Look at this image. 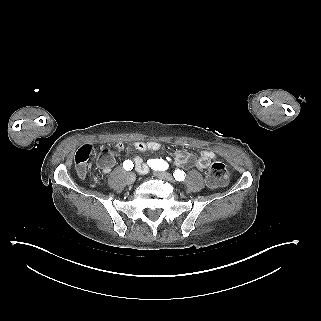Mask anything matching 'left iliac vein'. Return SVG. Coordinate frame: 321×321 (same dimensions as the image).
<instances>
[{"mask_svg": "<svg viewBox=\"0 0 321 321\" xmlns=\"http://www.w3.org/2000/svg\"><path fill=\"white\" fill-rule=\"evenodd\" d=\"M154 175H155L156 177L160 178V179L167 180V181H169V182H171V183H174V182H175L173 176H172L170 173H168V172H165V171H155V172H154Z\"/></svg>", "mask_w": 321, "mask_h": 321, "instance_id": "1", "label": "left iliac vein"}]
</instances>
